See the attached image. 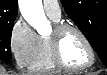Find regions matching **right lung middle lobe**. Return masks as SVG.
I'll use <instances>...</instances> for the list:
<instances>
[{
	"instance_id": "obj_1",
	"label": "right lung middle lobe",
	"mask_w": 107,
	"mask_h": 75,
	"mask_svg": "<svg viewBox=\"0 0 107 75\" xmlns=\"http://www.w3.org/2000/svg\"><path fill=\"white\" fill-rule=\"evenodd\" d=\"M13 29V22L0 23V60L11 59V33Z\"/></svg>"
}]
</instances>
